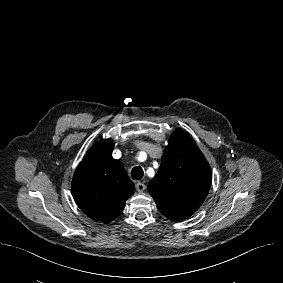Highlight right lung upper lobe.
Returning <instances> with one entry per match:
<instances>
[{"label":"right lung upper lobe","instance_id":"1","mask_svg":"<svg viewBox=\"0 0 283 283\" xmlns=\"http://www.w3.org/2000/svg\"><path fill=\"white\" fill-rule=\"evenodd\" d=\"M113 148L112 139H101L90 148L71 185L79 208L88 217L105 224L119 216L134 190V183L121 162L112 157Z\"/></svg>","mask_w":283,"mask_h":283}]
</instances>
